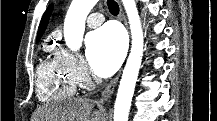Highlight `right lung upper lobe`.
<instances>
[{
  "instance_id": "cb5924a9",
  "label": "right lung upper lobe",
  "mask_w": 217,
  "mask_h": 121,
  "mask_svg": "<svg viewBox=\"0 0 217 121\" xmlns=\"http://www.w3.org/2000/svg\"><path fill=\"white\" fill-rule=\"evenodd\" d=\"M51 7H49V9L44 13L42 20L40 22V26H39V30H38V35H37V40L40 39L41 35L43 34L46 26H47V22L50 16V12H51Z\"/></svg>"
}]
</instances>
